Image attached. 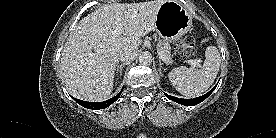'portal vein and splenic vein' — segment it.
<instances>
[{
    "mask_svg": "<svg viewBox=\"0 0 276 138\" xmlns=\"http://www.w3.org/2000/svg\"><path fill=\"white\" fill-rule=\"evenodd\" d=\"M122 27H118L114 30L113 34L116 35V36H119L122 34ZM157 53H158V56L159 58L167 65H170L173 63V61H170L164 54L162 51L160 50H157ZM189 64H191L192 66L194 67H197L199 65V61L198 60H188L187 61Z\"/></svg>",
    "mask_w": 276,
    "mask_h": 138,
    "instance_id": "obj_1",
    "label": "portal vein and splenic vein"
}]
</instances>
